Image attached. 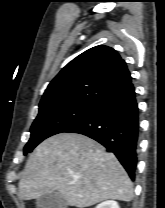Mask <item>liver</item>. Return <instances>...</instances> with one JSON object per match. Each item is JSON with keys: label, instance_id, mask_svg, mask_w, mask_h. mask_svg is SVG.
<instances>
[{"label": "liver", "instance_id": "liver-1", "mask_svg": "<svg viewBox=\"0 0 165 208\" xmlns=\"http://www.w3.org/2000/svg\"><path fill=\"white\" fill-rule=\"evenodd\" d=\"M54 191L78 208L107 199L129 202L133 198L132 182L115 155L77 133L56 134L40 143L19 181L23 200Z\"/></svg>", "mask_w": 165, "mask_h": 208}]
</instances>
